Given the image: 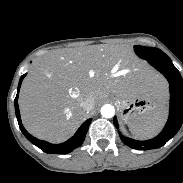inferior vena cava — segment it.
Here are the masks:
<instances>
[{
	"instance_id": "obj_1",
	"label": "inferior vena cava",
	"mask_w": 183,
	"mask_h": 183,
	"mask_svg": "<svg viewBox=\"0 0 183 183\" xmlns=\"http://www.w3.org/2000/svg\"><path fill=\"white\" fill-rule=\"evenodd\" d=\"M93 102V97L90 94H86L80 99V106L85 110H89L92 108Z\"/></svg>"
}]
</instances>
